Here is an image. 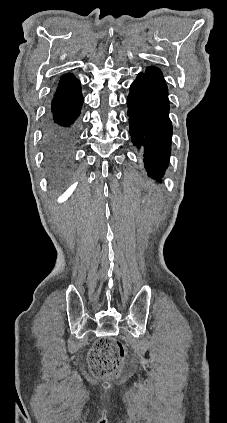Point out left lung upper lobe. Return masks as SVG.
<instances>
[{
  "instance_id": "5c2ea615",
  "label": "left lung upper lobe",
  "mask_w": 227,
  "mask_h": 423,
  "mask_svg": "<svg viewBox=\"0 0 227 423\" xmlns=\"http://www.w3.org/2000/svg\"><path fill=\"white\" fill-rule=\"evenodd\" d=\"M146 70H153L156 73H158L159 75H162L161 72L159 70L155 69V68H147Z\"/></svg>"
}]
</instances>
